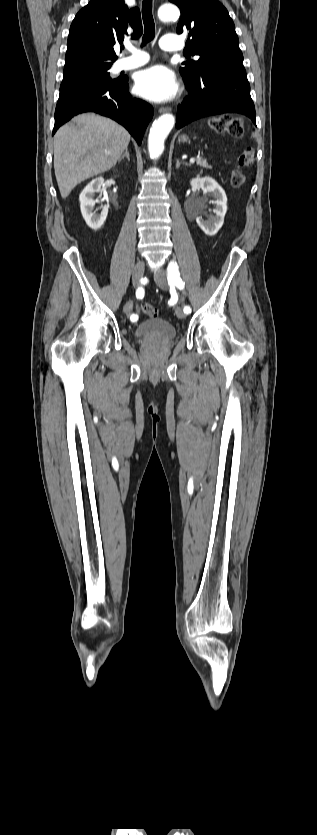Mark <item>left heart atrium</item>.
<instances>
[{"instance_id": "left-heart-atrium-1", "label": "left heart atrium", "mask_w": 317, "mask_h": 835, "mask_svg": "<svg viewBox=\"0 0 317 835\" xmlns=\"http://www.w3.org/2000/svg\"><path fill=\"white\" fill-rule=\"evenodd\" d=\"M135 90L138 95L154 101L172 99L178 90L175 75L163 65H154L137 73Z\"/></svg>"}]
</instances>
